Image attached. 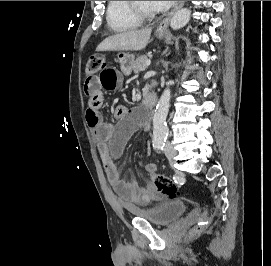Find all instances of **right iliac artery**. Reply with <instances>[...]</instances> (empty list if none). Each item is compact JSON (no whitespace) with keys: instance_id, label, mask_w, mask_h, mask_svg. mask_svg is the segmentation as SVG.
I'll use <instances>...</instances> for the list:
<instances>
[{"instance_id":"82829eb1","label":"right iliac artery","mask_w":271,"mask_h":266,"mask_svg":"<svg viewBox=\"0 0 271 266\" xmlns=\"http://www.w3.org/2000/svg\"><path fill=\"white\" fill-rule=\"evenodd\" d=\"M153 146H154V148H155L156 150H160V149L162 148V146H163V143H162V141H158V142H155V143L153 144Z\"/></svg>"}]
</instances>
